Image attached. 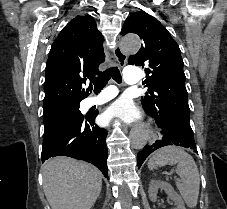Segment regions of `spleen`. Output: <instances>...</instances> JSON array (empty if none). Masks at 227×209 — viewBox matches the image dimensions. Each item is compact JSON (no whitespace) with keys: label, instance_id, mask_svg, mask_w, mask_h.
I'll return each mask as SVG.
<instances>
[{"label":"spleen","instance_id":"spleen-1","mask_svg":"<svg viewBox=\"0 0 227 209\" xmlns=\"http://www.w3.org/2000/svg\"><path fill=\"white\" fill-rule=\"evenodd\" d=\"M164 165H177L176 173L180 181H177L176 187L187 207L196 209L200 191V175L194 159L184 151L183 147H162L153 153L148 161V169L153 171Z\"/></svg>","mask_w":227,"mask_h":209}]
</instances>
